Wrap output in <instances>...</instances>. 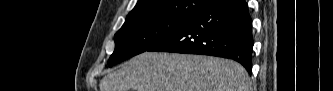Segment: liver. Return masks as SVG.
<instances>
[{
    "label": "liver",
    "instance_id": "liver-1",
    "mask_svg": "<svg viewBox=\"0 0 333 91\" xmlns=\"http://www.w3.org/2000/svg\"><path fill=\"white\" fill-rule=\"evenodd\" d=\"M100 91H250L245 68L232 60L144 52L100 81Z\"/></svg>",
    "mask_w": 333,
    "mask_h": 91
}]
</instances>
